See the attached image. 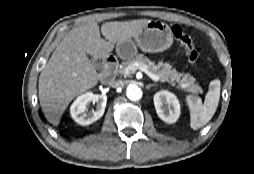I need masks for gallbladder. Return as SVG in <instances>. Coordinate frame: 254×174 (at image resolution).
I'll list each match as a JSON object with an SVG mask.
<instances>
[{
  "label": "gallbladder",
  "instance_id": "obj_1",
  "mask_svg": "<svg viewBox=\"0 0 254 174\" xmlns=\"http://www.w3.org/2000/svg\"><path fill=\"white\" fill-rule=\"evenodd\" d=\"M93 64L95 65L96 69L100 70L102 67V64L95 58L91 57Z\"/></svg>",
  "mask_w": 254,
  "mask_h": 174
}]
</instances>
